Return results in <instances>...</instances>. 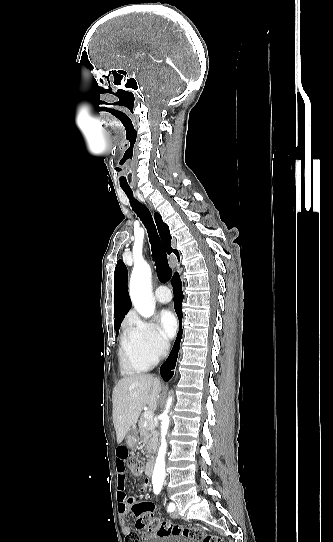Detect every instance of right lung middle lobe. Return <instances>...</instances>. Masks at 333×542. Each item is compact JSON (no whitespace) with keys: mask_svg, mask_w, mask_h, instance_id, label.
<instances>
[{"mask_svg":"<svg viewBox=\"0 0 333 542\" xmlns=\"http://www.w3.org/2000/svg\"><path fill=\"white\" fill-rule=\"evenodd\" d=\"M119 328H120V327H115V330H116V335H118V332H119Z\"/></svg>","mask_w":333,"mask_h":542,"instance_id":"dd1d6c3e","label":"right lung middle lobe"}]
</instances>
